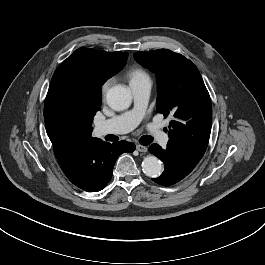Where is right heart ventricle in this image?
Instances as JSON below:
<instances>
[{
	"label": "right heart ventricle",
	"instance_id": "1",
	"mask_svg": "<svg viewBox=\"0 0 265 265\" xmlns=\"http://www.w3.org/2000/svg\"><path fill=\"white\" fill-rule=\"evenodd\" d=\"M127 76L129 78L130 83L140 81L149 77L144 70L137 67L130 69L127 73Z\"/></svg>",
	"mask_w": 265,
	"mask_h": 265
}]
</instances>
